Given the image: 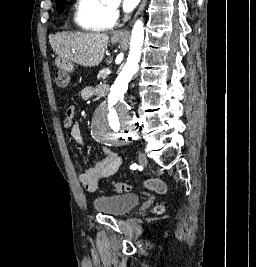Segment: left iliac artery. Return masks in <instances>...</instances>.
Returning <instances> with one entry per match:
<instances>
[{
    "instance_id": "left-iliac-artery-1",
    "label": "left iliac artery",
    "mask_w": 256,
    "mask_h": 267,
    "mask_svg": "<svg viewBox=\"0 0 256 267\" xmlns=\"http://www.w3.org/2000/svg\"><path fill=\"white\" fill-rule=\"evenodd\" d=\"M137 167H138V165L135 164V163H134L133 165L130 166V168L133 169V170L136 169Z\"/></svg>"
}]
</instances>
